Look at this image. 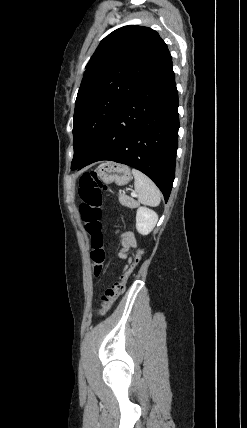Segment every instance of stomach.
<instances>
[{
    "label": "stomach",
    "mask_w": 247,
    "mask_h": 428,
    "mask_svg": "<svg viewBox=\"0 0 247 428\" xmlns=\"http://www.w3.org/2000/svg\"><path fill=\"white\" fill-rule=\"evenodd\" d=\"M99 179L105 184L115 183L118 186L126 185L132 178L130 168L124 164L106 162L97 170Z\"/></svg>",
    "instance_id": "stomach-1"
}]
</instances>
